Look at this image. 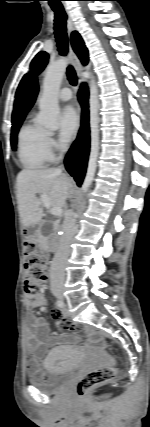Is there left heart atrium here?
Returning a JSON list of instances; mask_svg holds the SVG:
<instances>
[{"label": "left heart atrium", "instance_id": "1", "mask_svg": "<svg viewBox=\"0 0 150 427\" xmlns=\"http://www.w3.org/2000/svg\"><path fill=\"white\" fill-rule=\"evenodd\" d=\"M78 128V115L75 109L67 106L60 114L59 137L61 142L68 143L75 135Z\"/></svg>", "mask_w": 150, "mask_h": 427}]
</instances>
